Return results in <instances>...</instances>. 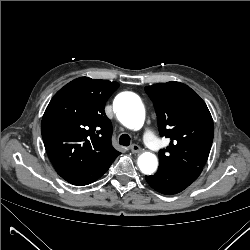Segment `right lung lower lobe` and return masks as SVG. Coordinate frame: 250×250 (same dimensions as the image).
<instances>
[{
	"label": "right lung lower lobe",
	"instance_id": "right-lung-lower-lobe-1",
	"mask_svg": "<svg viewBox=\"0 0 250 250\" xmlns=\"http://www.w3.org/2000/svg\"><path fill=\"white\" fill-rule=\"evenodd\" d=\"M116 157L117 156H111L91 169L78 173L62 174L60 176L73 185H88L100 178L109 169Z\"/></svg>",
	"mask_w": 250,
	"mask_h": 250
}]
</instances>
